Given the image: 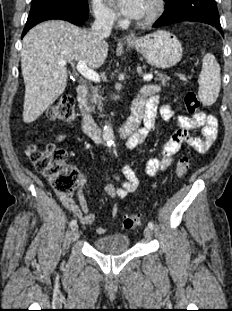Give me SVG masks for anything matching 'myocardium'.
<instances>
[{"label": "myocardium", "instance_id": "1", "mask_svg": "<svg viewBox=\"0 0 232 311\" xmlns=\"http://www.w3.org/2000/svg\"><path fill=\"white\" fill-rule=\"evenodd\" d=\"M147 3L149 6V10L143 18L136 22L138 26L144 27L151 25L158 19L162 12L163 4L161 0H148Z\"/></svg>", "mask_w": 232, "mask_h": 311}]
</instances>
